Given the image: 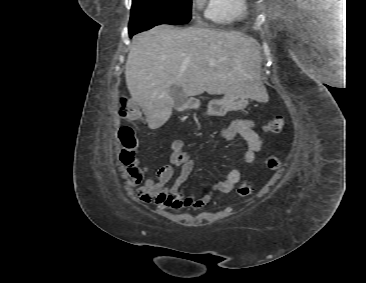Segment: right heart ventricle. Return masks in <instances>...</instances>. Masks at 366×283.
Segmentation results:
<instances>
[{"label":"right heart ventricle","mask_w":366,"mask_h":283,"mask_svg":"<svg viewBox=\"0 0 366 283\" xmlns=\"http://www.w3.org/2000/svg\"><path fill=\"white\" fill-rule=\"evenodd\" d=\"M248 13L247 0H206V17L221 25H232Z\"/></svg>","instance_id":"obj_1"}]
</instances>
